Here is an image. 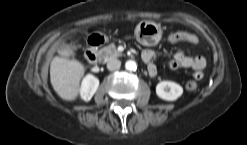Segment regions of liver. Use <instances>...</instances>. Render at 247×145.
I'll return each instance as SVG.
<instances>
[{"instance_id": "6515ba94", "label": "liver", "mask_w": 247, "mask_h": 145, "mask_svg": "<svg viewBox=\"0 0 247 145\" xmlns=\"http://www.w3.org/2000/svg\"><path fill=\"white\" fill-rule=\"evenodd\" d=\"M84 65L75 59L55 56L50 63V81L54 91L64 100L74 101L80 91Z\"/></svg>"}]
</instances>
